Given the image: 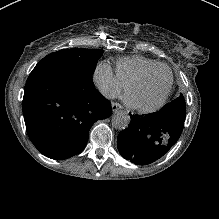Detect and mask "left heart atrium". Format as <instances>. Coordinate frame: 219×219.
Returning a JSON list of instances; mask_svg holds the SVG:
<instances>
[{
  "instance_id": "1",
  "label": "left heart atrium",
  "mask_w": 219,
  "mask_h": 219,
  "mask_svg": "<svg viewBox=\"0 0 219 219\" xmlns=\"http://www.w3.org/2000/svg\"><path fill=\"white\" fill-rule=\"evenodd\" d=\"M126 101H127V103L130 105V100H129V97H128V96L126 97Z\"/></svg>"
}]
</instances>
